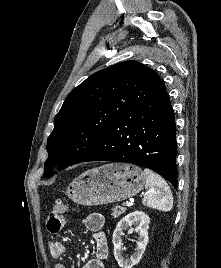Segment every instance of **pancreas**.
Listing matches in <instances>:
<instances>
[{"label":"pancreas","mask_w":221,"mask_h":268,"mask_svg":"<svg viewBox=\"0 0 221 268\" xmlns=\"http://www.w3.org/2000/svg\"><path fill=\"white\" fill-rule=\"evenodd\" d=\"M126 212V208L124 207H121V206H115L112 208V213L111 215L114 217V218H117L119 217L121 214L125 213Z\"/></svg>","instance_id":"1"}]
</instances>
